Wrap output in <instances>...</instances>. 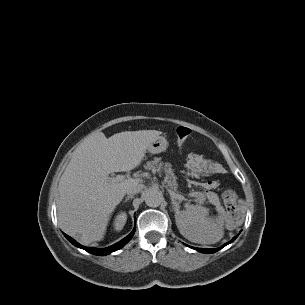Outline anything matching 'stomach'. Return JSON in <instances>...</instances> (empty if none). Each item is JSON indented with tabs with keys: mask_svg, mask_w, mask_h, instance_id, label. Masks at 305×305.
<instances>
[{
	"mask_svg": "<svg viewBox=\"0 0 305 305\" xmlns=\"http://www.w3.org/2000/svg\"><path fill=\"white\" fill-rule=\"evenodd\" d=\"M168 148V141L165 137L159 136L147 147V152L151 154H158L166 151Z\"/></svg>",
	"mask_w": 305,
	"mask_h": 305,
	"instance_id": "stomach-1",
	"label": "stomach"
}]
</instances>
